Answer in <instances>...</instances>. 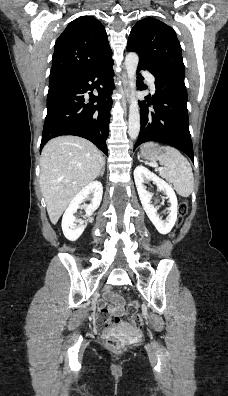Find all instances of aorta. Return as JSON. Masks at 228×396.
<instances>
[{"mask_svg": "<svg viewBox=\"0 0 228 396\" xmlns=\"http://www.w3.org/2000/svg\"><path fill=\"white\" fill-rule=\"evenodd\" d=\"M139 62V57L135 52H130L125 57V67L131 89L129 119H128V133L131 139L135 140L140 131V110L138 101L135 96L136 90V71Z\"/></svg>", "mask_w": 228, "mask_h": 396, "instance_id": "1", "label": "aorta"}]
</instances>
